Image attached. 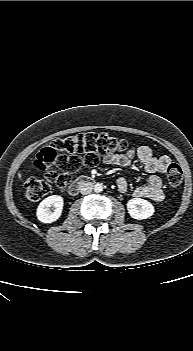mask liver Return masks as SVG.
Here are the masks:
<instances>
[{"label": "liver", "mask_w": 193, "mask_h": 351, "mask_svg": "<svg viewBox=\"0 0 193 351\" xmlns=\"http://www.w3.org/2000/svg\"><path fill=\"white\" fill-rule=\"evenodd\" d=\"M19 178L21 179V173L18 174Z\"/></svg>", "instance_id": "obj_1"}]
</instances>
